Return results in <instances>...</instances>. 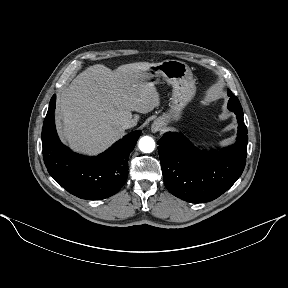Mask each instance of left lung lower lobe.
I'll return each mask as SVG.
<instances>
[{"instance_id":"1","label":"left lung lower lobe","mask_w":288,"mask_h":288,"mask_svg":"<svg viewBox=\"0 0 288 288\" xmlns=\"http://www.w3.org/2000/svg\"><path fill=\"white\" fill-rule=\"evenodd\" d=\"M237 116L234 145L211 153L196 149L178 133H166L157 142L164 183L169 192L191 203L216 199L241 176L247 155V127Z\"/></svg>"}]
</instances>
